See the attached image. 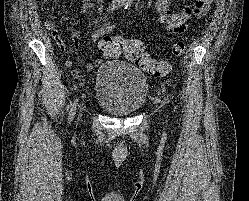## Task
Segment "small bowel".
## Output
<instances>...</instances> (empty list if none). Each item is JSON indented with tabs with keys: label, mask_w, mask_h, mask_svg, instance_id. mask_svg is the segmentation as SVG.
Listing matches in <instances>:
<instances>
[{
	"label": "small bowel",
	"mask_w": 249,
	"mask_h": 201,
	"mask_svg": "<svg viewBox=\"0 0 249 201\" xmlns=\"http://www.w3.org/2000/svg\"><path fill=\"white\" fill-rule=\"evenodd\" d=\"M173 0H155L154 9L159 15L160 23L167 29L168 32L172 34H182L189 28V21L193 18L205 16L210 8V5L215 0H195L191 5L184 7L181 11L175 12L170 8V3ZM44 27L50 32L53 39L56 41L57 46L60 51H65V43L57 30L55 23L51 21H46ZM114 29V24L107 22L102 24L96 31L91 35V39L97 42L102 36L111 32ZM69 32L71 34L72 43L74 48L77 50L81 42V34L77 29L70 28ZM102 63L100 58L96 59L94 62L87 63L85 65L86 71H92L95 66ZM67 67L73 66V61L67 59L65 61ZM82 70L79 68L72 69V74L75 77L81 75Z\"/></svg>",
	"instance_id": "1"
}]
</instances>
